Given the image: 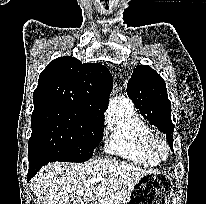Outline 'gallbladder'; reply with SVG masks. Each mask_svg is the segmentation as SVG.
<instances>
[{
	"mask_svg": "<svg viewBox=\"0 0 206 204\" xmlns=\"http://www.w3.org/2000/svg\"><path fill=\"white\" fill-rule=\"evenodd\" d=\"M67 204H72V202H71V201H68Z\"/></svg>",
	"mask_w": 206,
	"mask_h": 204,
	"instance_id": "gallbladder-1",
	"label": "gallbladder"
}]
</instances>
